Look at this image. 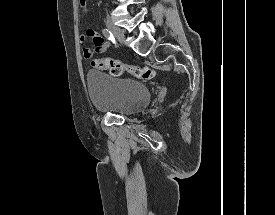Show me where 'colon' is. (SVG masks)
<instances>
[{"mask_svg": "<svg viewBox=\"0 0 275 215\" xmlns=\"http://www.w3.org/2000/svg\"><path fill=\"white\" fill-rule=\"evenodd\" d=\"M82 6H85L87 0H79ZM92 65L98 69L106 70L114 76L127 72L134 78L150 80L154 76V71L148 67H141L133 64H124L109 57H98L93 60Z\"/></svg>", "mask_w": 275, "mask_h": 215, "instance_id": "obj_1", "label": "colon"}]
</instances>
